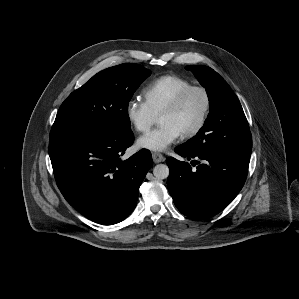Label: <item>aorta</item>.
Masks as SVG:
<instances>
[{
    "label": "aorta",
    "mask_w": 299,
    "mask_h": 299,
    "mask_svg": "<svg viewBox=\"0 0 299 299\" xmlns=\"http://www.w3.org/2000/svg\"><path fill=\"white\" fill-rule=\"evenodd\" d=\"M154 176L159 179H166L169 176V168L166 164H158L153 168Z\"/></svg>",
    "instance_id": "obj_1"
}]
</instances>
